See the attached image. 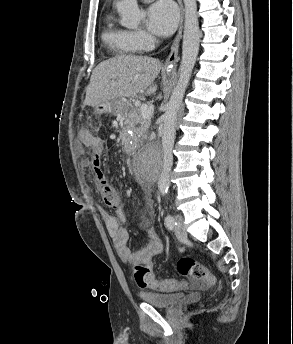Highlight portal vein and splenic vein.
I'll list each match as a JSON object with an SVG mask.
<instances>
[{
	"instance_id": "1",
	"label": "portal vein and splenic vein",
	"mask_w": 293,
	"mask_h": 344,
	"mask_svg": "<svg viewBox=\"0 0 293 344\" xmlns=\"http://www.w3.org/2000/svg\"><path fill=\"white\" fill-rule=\"evenodd\" d=\"M140 110H141V115L144 119L150 118V116L152 114L151 107H149L147 104H143V105H141Z\"/></svg>"
}]
</instances>
